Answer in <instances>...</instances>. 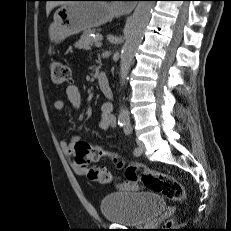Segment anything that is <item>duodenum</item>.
<instances>
[{
  "instance_id": "duodenum-1",
  "label": "duodenum",
  "mask_w": 231,
  "mask_h": 231,
  "mask_svg": "<svg viewBox=\"0 0 231 231\" xmlns=\"http://www.w3.org/2000/svg\"><path fill=\"white\" fill-rule=\"evenodd\" d=\"M97 81L98 85L102 91V93L109 99H112L114 97V93L112 90V87L109 83L108 78L106 77L105 74L98 72L97 73Z\"/></svg>"
}]
</instances>
